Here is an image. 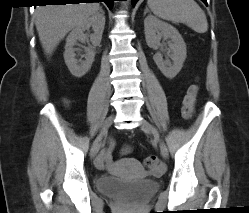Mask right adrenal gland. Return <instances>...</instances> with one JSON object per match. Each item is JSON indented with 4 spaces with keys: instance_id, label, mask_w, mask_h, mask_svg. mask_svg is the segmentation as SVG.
<instances>
[{
    "instance_id": "2a0ac1e0",
    "label": "right adrenal gland",
    "mask_w": 249,
    "mask_h": 213,
    "mask_svg": "<svg viewBox=\"0 0 249 213\" xmlns=\"http://www.w3.org/2000/svg\"><path fill=\"white\" fill-rule=\"evenodd\" d=\"M102 14H104V11L102 10V8H100V10H99Z\"/></svg>"
}]
</instances>
